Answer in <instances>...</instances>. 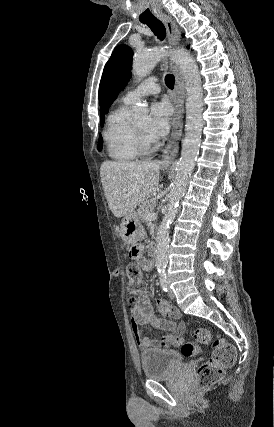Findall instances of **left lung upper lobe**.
I'll return each mask as SVG.
<instances>
[{
  "mask_svg": "<svg viewBox=\"0 0 274 427\" xmlns=\"http://www.w3.org/2000/svg\"><path fill=\"white\" fill-rule=\"evenodd\" d=\"M132 57L133 51L129 46H117L104 67L99 86L101 126L104 123V114L131 77Z\"/></svg>",
  "mask_w": 274,
  "mask_h": 427,
  "instance_id": "5c2ea615",
  "label": "left lung upper lobe"
}]
</instances>
